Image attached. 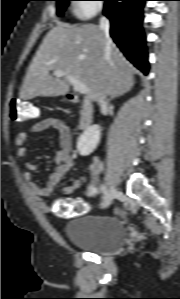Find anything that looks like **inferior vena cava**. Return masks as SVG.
I'll use <instances>...</instances> for the list:
<instances>
[{"mask_svg": "<svg viewBox=\"0 0 180 299\" xmlns=\"http://www.w3.org/2000/svg\"><path fill=\"white\" fill-rule=\"evenodd\" d=\"M109 27H110L109 20L106 17L102 16L100 18V29L105 33L107 39H110L109 38ZM104 101H105V95H101L99 98V102L102 103Z\"/></svg>", "mask_w": 180, "mask_h": 299, "instance_id": "1", "label": "inferior vena cava"}]
</instances>
